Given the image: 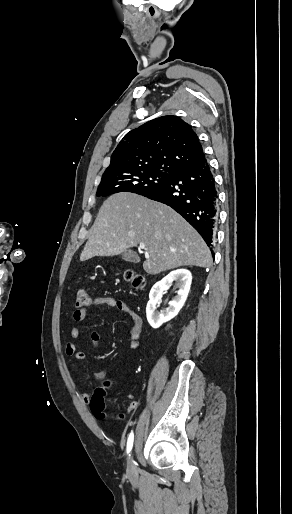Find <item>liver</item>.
Listing matches in <instances>:
<instances>
[{
    "label": "liver",
    "mask_w": 292,
    "mask_h": 514,
    "mask_svg": "<svg viewBox=\"0 0 292 514\" xmlns=\"http://www.w3.org/2000/svg\"><path fill=\"white\" fill-rule=\"evenodd\" d=\"M138 244L148 252L143 264L147 274L179 266H212L207 244L180 214L130 192L113 194L103 202L80 260L118 256Z\"/></svg>",
    "instance_id": "6515ba94"
}]
</instances>
